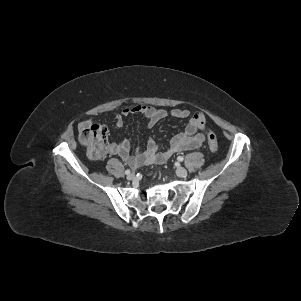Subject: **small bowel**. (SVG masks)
<instances>
[{"mask_svg": "<svg viewBox=\"0 0 301 301\" xmlns=\"http://www.w3.org/2000/svg\"><path fill=\"white\" fill-rule=\"evenodd\" d=\"M130 114H140L147 122L148 127L155 126L161 120L167 117L178 119L188 118V124L184 132L174 136L165 149H160L152 138H149L143 149L132 152L130 142L127 139L119 143H111L107 146V155L119 156L128 166L135 168L142 165L153 163H164L172 155L182 151L194 150L202 146L205 141L204 130L206 127V117L203 113L191 114L186 109H173L166 111L149 105L138 104L132 107H126L121 113L113 116V121L117 127L123 126V118ZM91 120H85L79 124L81 128Z\"/></svg>", "mask_w": 301, "mask_h": 301, "instance_id": "c3829d8e", "label": "small bowel"}]
</instances>
